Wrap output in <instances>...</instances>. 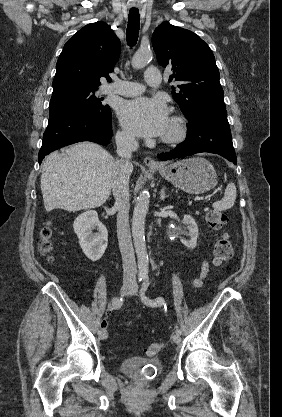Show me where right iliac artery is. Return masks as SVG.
Masks as SVG:
<instances>
[{
	"label": "right iliac artery",
	"instance_id": "82829eb1",
	"mask_svg": "<svg viewBox=\"0 0 282 417\" xmlns=\"http://www.w3.org/2000/svg\"><path fill=\"white\" fill-rule=\"evenodd\" d=\"M123 305V298L122 297H116V298H114L113 300H112V302H111V304H110V306H109V308L111 309V310H113V309H119V308H121V306Z\"/></svg>",
	"mask_w": 282,
	"mask_h": 417
}]
</instances>
